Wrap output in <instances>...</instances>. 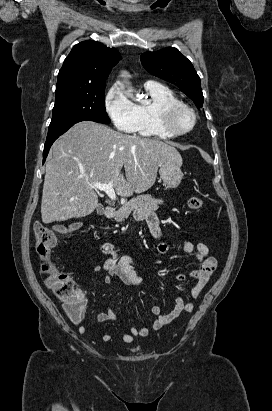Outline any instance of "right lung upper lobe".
Listing matches in <instances>:
<instances>
[{
    "mask_svg": "<svg viewBox=\"0 0 272 411\" xmlns=\"http://www.w3.org/2000/svg\"><path fill=\"white\" fill-rule=\"evenodd\" d=\"M120 54L100 42L83 41L76 44L58 74L56 92L105 84Z\"/></svg>",
    "mask_w": 272,
    "mask_h": 411,
    "instance_id": "obj_1",
    "label": "right lung upper lobe"
}]
</instances>
